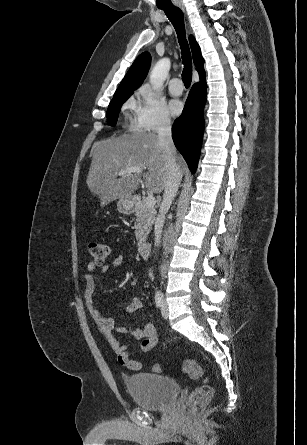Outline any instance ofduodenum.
Returning a JSON list of instances; mask_svg holds the SVG:
<instances>
[{
    "mask_svg": "<svg viewBox=\"0 0 307 445\" xmlns=\"http://www.w3.org/2000/svg\"><path fill=\"white\" fill-rule=\"evenodd\" d=\"M134 201H138V198H135ZM150 251H151V244L149 242H143L138 247L139 254L144 258L149 256Z\"/></svg>",
    "mask_w": 307,
    "mask_h": 445,
    "instance_id": "1",
    "label": "duodenum"
}]
</instances>
